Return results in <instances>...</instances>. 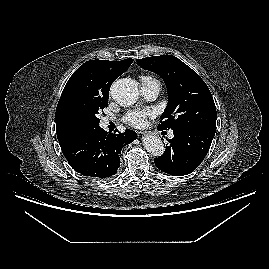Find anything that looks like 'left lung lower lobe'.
I'll return each instance as SVG.
<instances>
[{
  "label": "left lung lower lobe",
  "mask_w": 269,
  "mask_h": 269,
  "mask_svg": "<svg viewBox=\"0 0 269 269\" xmlns=\"http://www.w3.org/2000/svg\"><path fill=\"white\" fill-rule=\"evenodd\" d=\"M174 138L166 145L165 153L155 158L158 169L173 176L193 172L207 155L215 130L197 128L187 131H173Z\"/></svg>",
  "instance_id": "obj_1"
}]
</instances>
